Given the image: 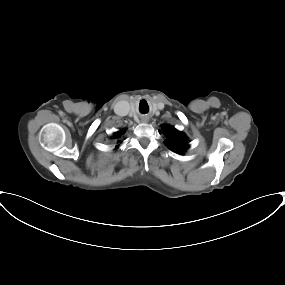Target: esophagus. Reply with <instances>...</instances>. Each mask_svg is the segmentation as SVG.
Segmentation results:
<instances>
[{
  "mask_svg": "<svg viewBox=\"0 0 285 285\" xmlns=\"http://www.w3.org/2000/svg\"><path fill=\"white\" fill-rule=\"evenodd\" d=\"M143 123L147 122L148 120L146 118H142L141 120Z\"/></svg>",
  "mask_w": 285,
  "mask_h": 285,
  "instance_id": "obj_1",
  "label": "esophagus"
}]
</instances>
